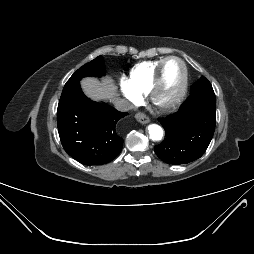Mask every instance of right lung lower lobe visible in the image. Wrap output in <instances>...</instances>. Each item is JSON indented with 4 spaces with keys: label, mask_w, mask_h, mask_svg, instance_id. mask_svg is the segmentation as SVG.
I'll return each instance as SVG.
<instances>
[{
    "label": "right lung lower lobe",
    "mask_w": 254,
    "mask_h": 254,
    "mask_svg": "<svg viewBox=\"0 0 254 254\" xmlns=\"http://www.w3.org/2000/svg\"><path fill=\"white\" fill-rule=\"evenodd\" d=\"M128 113L88 99L79 81L65 84L57 109V126L65 151L84 165L115 159L123 145L118 121Z\"/></svg>",
    "instance_id": "right-lung-lower-lobe-1"
}]
</instances>
